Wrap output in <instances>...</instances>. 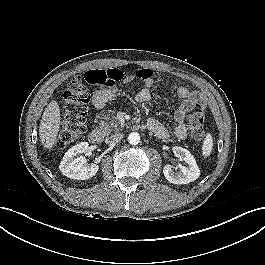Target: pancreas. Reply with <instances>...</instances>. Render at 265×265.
<instances>
[{
  "mask_svg": "<svg viewBox=\"0 0 265 265\" xmlns=\"http://www.w3.org/2000/svg\"><path fill=\"white\" fill-rule=\"evenodd\" d=\"M107 120V119H106ZM111 127L114 128L116 131H119V127L116 123L112 122H107V121H101V129L104 135H109L111 131ZM122 127V125H120Z\"/></svg>",
  "mask_w": 265,
  "mask_h": 265,
  "instance_id": "1",
  "label": "pancreas"
}]
</instances>
